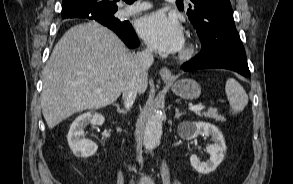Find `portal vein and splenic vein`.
<instances>
[{
	"instance_id": "1",
	"label": "portal vein and splenic vein",
	"mask_w": 293,
	"mask_h": 184,
	"mask_svg": "<svg viewBox=\"0 0 293 184\" xmlns=\"http://www.w3.org/2000/svg\"><path fill=\"white\" fill-rule=\"evenodd\" d=\"M94 92L99 93V92H101V89H96ZM204 108H205V106L200 104V105H195V106L189 107V110H191V111H201Z\"/></svg>"
}]
</instances>
